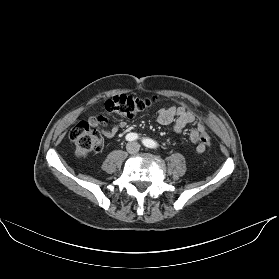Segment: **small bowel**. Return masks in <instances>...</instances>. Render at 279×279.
Segmentation results:
<instances>
[{"instance_id":"obj_1","label":"small bowel","mask_w":279,"mask_h":279,"mask_svg":"<svg viewBox=\"0 0 279 279\" xmlns=\"http://www.w3.org/2000/svg\"><path fill=\"white\" fill-rule=\"evenodd\" d=\"M156 121L161 125H169L174 122V130L176 133H181L184 127L188 124L196 122V127L190 133V140L196 145V151L203 153L206 146L202 142V138L207 134L206 125L203 119H197L195 113L190 110L185 102H180L169 108H162L158 111ZM89 122L94 126H98L99 122L96 117H90ZM127 124L124 121L118 122L111 130L103 131L108 138L114 137L119 131L126 128Z\"/></svg>"}]
</instances>
